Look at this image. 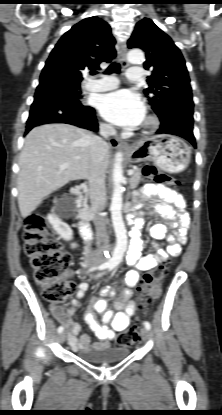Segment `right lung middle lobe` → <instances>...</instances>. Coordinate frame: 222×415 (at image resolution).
Returning a JSON list of instances; mask_svg holds the SVG:
<instances>
[{
    "label": "right lung middle lobe",
    "instance_id": "right-lung-middle-lobe-1",
    "mask_svg": "<svg viewBox=\"0 0 222 415\" xmlns=\"http://www.w3.org/2000/svg\"><path fill=\"white\" fill-rule=\"evenodd\" d=\"M66 83H67V86H68V89H69V91L75 96V97H78V98H80V94H81V91H80V85H78V84H73V83H71V82H69V81H66Z\"/></svg>",
    "mask_w": 222,
    "mask_h": 415
}]
</instances>
